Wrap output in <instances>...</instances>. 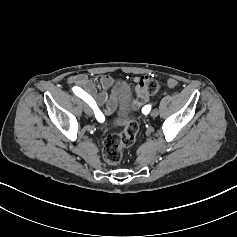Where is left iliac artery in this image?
I'll return each mask as SVG.
<instances>
[{
    "label": "left iliac artery",
    "mask_w": 237,
    "mask_h": 237,
    "mask_svg": "<svg viewBox=\"0 0 237 237\" xmlns=\"http://www.w3.org/2000/svg\"><path fill=\"white\" fill-rule=\"evenodd\" d=\"M151 110V106L150 105H146L142 108V112L143 114H148Z\"/></svg>",
    "instance_id": "1"
}]
</instances>
